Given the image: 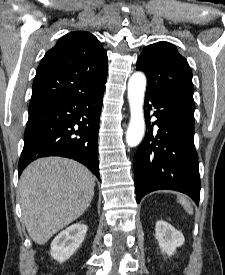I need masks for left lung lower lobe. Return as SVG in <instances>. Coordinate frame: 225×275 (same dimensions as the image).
Instances as JSON below:
<instances>
[{"mask_svg": "<svg viewBox=\"0 0 225 275\" xmlns=\"http://www.w3.org/2000/svg\"><path fill=\"white\" fill-rule=\"evenodd\" d=\"M152 108L157 121L151 125ZM144 111L148 129L134 160L137 203L152 191L167 189L187 194L198 205L201 183L194 146V110L146 89ZM155 124L157 132H153Z\"/></svg>", "mask_w": 225, "mask_h": 275, "instance_id": "0a47b994", "label": "left lung lower lobe"}]
</instances>
